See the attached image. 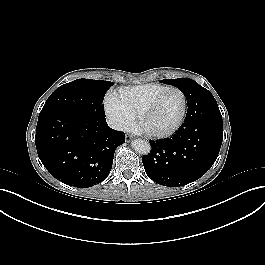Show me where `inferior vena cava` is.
<instances>
[{"instance_id": "1", "label": "inferior vena cava", "mask_w": 265, "mask_h": 265, "mask_svg": "<svg viewBox=\"0 0 265 265\" xmlns=\"http://www.w3.org/2000/svg\"><path fill=\"white\" fill-rule=\"evenodd\" d=\"M108 125L115 130L118 131H126L127 130V124L124 120L116 118V117H110L107 120Z\"/></svg>"}]
</instances>
